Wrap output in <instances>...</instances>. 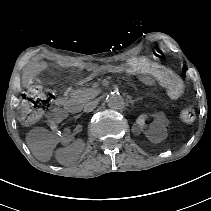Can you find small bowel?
I'll list each match as a JSON object with an SVG mask.
<instances>
[{
    "label": "small bowel",
    "instance_id": "obj_1",
    "mask_svg": "<svg viewBox=\"0 0 211 211\" xmlns=\"http://www.w3.org/2000/svg\"><path fill=\"white\" fill-rule=\"evenodd\" d=\"M45 69V63L41 59H36L35 62L29 66V68L25 72V80L27 82L31 81L33 77L36 75L37 72ZM90 75L82 80V82L88 81L91 77L100 74L102 72H112V73H120L126 71L124 67H117V66H90ZM142 82L151 85L152 79L149 77H142ZM68 91L63 92L61 95L55 98V104L58 106H62L67 101ZM166 119L161 112H156L153 116V122L151 123V128L159 129L165 125ZM50 126L53 128L55 126V122L53 119L50 121Z\"/></svg>",
    "mask_w": 211,
    "mask_h": 211
}]
</instances>
